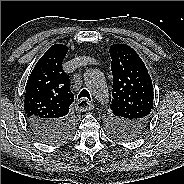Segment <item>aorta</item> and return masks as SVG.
I'll return each instance as SVG.
<instances>
[{
  "label": "aorta",
  "mask_w": 184,
  "mask_h": 184,
  "mask_svg": "<svg viewBox=\"0 0 184 184\" xmlns=\"http://www.w3.org/2000/svg\"><path fill=\"white\" fill-rule=\"evenodd\" d=\"M84 80L87 88L98 101H105L107 98V86L103 73L98 69H90L84 73Z\"/></svg>",
  "instance_id": "1"
}]
</instances>
